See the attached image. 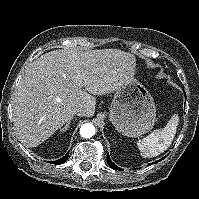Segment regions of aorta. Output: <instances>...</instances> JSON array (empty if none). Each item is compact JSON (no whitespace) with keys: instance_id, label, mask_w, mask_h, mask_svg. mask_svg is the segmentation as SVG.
I'll list each match as a JSON object with an SVG mask.
<instances>
[{"instance_id":"762f6f07","label":"aorta","mask_w":199,"mask_h":199,"mask_svg":"<svg viewBox=\"0 0 199 199\" xmlns=\"http://www.w3.org/2000/svg\"><path fill=\"white\" fill-rule=\"evenodd\" d=\"M95 134V127L91 123H85L80 128V135L83 138H90Z\"/></svg>"}]
</instances>
